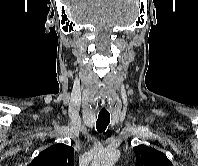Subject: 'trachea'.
Instances as JSON below:
<instances>
[{"label": "trachea", "instance_id": "3493384b", "mask_svg": "<svg viewBox=\"0 0 198 166\" xmlns=\"http://www.w3.org/2000/svg\"><path fill=\"white\" fill-rule=\"evenodd\" d=\"M110 123V114L100 113L96 121V128L98 132H104Z\"/></svg>", "mask_w": 198, "mask_h": 166}]
</instances>
